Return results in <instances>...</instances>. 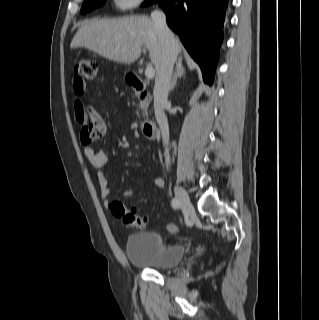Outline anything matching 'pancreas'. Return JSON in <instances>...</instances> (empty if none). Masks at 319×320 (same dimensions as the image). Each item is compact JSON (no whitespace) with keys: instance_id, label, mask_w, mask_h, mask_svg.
<instances>
[{"instance_id":"cf45deb5","label":"pancreas","mask_w":319,"mask_h":320,"mask_svg":"<svg viewBox=\"0 0 319 320\" xmlns=\"http://www.w3.org/2000/svg\"><path fill=\"white\" fill-rule=\"evenodd\" d=\"M147 105H148L147 102H145V101L141 102V108L142 109H146Z\"/></svg>"}]
</instances>
